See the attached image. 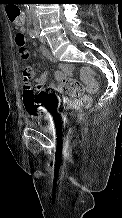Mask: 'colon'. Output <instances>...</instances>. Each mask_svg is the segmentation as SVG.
Masks as SVG:
<instances>
[{
  "instance_id": "colon-1",
  "label": "colon",
  "mask_w": 122,
  "mask_h": 218,
  "mask_svg": "<svg viewBox=\"0 0 122 218\" xmlns=\"http://www.w3.org/2000/svg\"><path fill=\"white\" fill-rule=\"evenodd\" d=\"M8 17L11 23L14 25L15 29L18 31L15 41L19 48V55L23 60L28 59L29 55L26 50V37L21 32L26 22V16L24 12L17 6H9L7 9ZM95 72L89 67H83L81 69V78L86 83V87L77 79H65L62 82V87L64 91L79 100L82 107H88L91 103V98L88 93H93L96 91L97 87L95 85ZM30 73L25 70L22 74L23 79V96H24V106L29 113H38L39 110L36 107L34 96L35 92L30 83Z\"/></svg>"
}]
</instances>
